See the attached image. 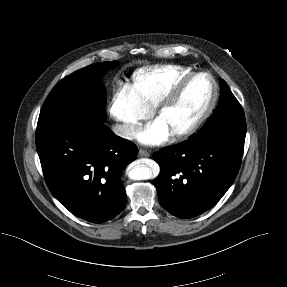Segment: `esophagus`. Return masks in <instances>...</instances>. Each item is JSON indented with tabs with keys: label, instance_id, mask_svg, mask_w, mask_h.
Wrapping results in <instances>:
<instances>
[{
	"label": "esophagus",
	"instance_id": "esophagus-1",
	"mask_svg": "<svg viewBox=\"0 0 287 287\" xmlns=\"http://www.w3.org/2000/svg\"><path fill=\"white\" fill-rule=\"evenodd\" d=\"M139 157H149V153L143 149H140L138 152Z\"/></svg>",
	"mask_w": 287,
	"mask_h": 287
}]
</instances>
